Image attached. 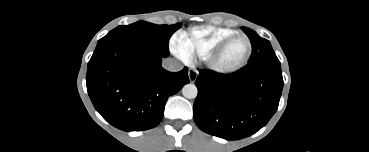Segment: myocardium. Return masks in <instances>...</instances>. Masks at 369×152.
<instances>
[{"label":"myocardium","instance_id":"f54148a6","mask_svg":"<svg viewBox=\"0 0 369 152\" xmlns=\"http://www.w3.org/2000/svg\"><path fill=\"white\" fill-rule=\"evenodd\" d=\"M243 38L247 41L248 49L244 58L235 65L232 66H222L219 64V58L227 48V46L235 39ZM253 46L250 38L243 33H235L224 40H222L218 45H216L209 54L204 58V62L208 69L218 74H231L241 68H243L249 61L252 54Z\"/></svg>","mask_w":369,"mask_h":152}]
</instances>
